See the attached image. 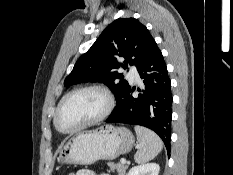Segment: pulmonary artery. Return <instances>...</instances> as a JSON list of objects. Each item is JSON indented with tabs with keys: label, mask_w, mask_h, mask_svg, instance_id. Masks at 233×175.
<instances>
[{
	"label": "pulmonary artery",
	"mask_w": 233,
	"mask_h": 175,
	"mask_svg": "<svg viewBox=\"0 0 233 175\" xmlns=\"http://www.w3.org/2000/svg\"><path fill=\"white\" fill-rule=\"evenodd\" d=\"M128 78L131 80V81H135V80H139V74H138V72H137V70L136 69H134V68H131L130 70H129V73H128Z\"/></svg>",
	"instance_id": "obj_1"
}]
</instances>
